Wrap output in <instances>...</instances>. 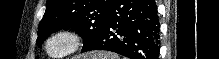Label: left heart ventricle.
<instances>
[{
	"mask_svg": "<svg viewBox=\"0 0 219 59\" xmlns=\"http://www.w3.org/2000/svg\"><path fill=\"white\" fill-rule=\"evenodd\" d=\"M67 41L65 39H56L50 44V50L54 53L63 52L67 48Z\"/></svg>",
	"mask_w": 219,
	"mask_h": 59,
	"instance_id": "b2bd125f",
	"label": "left heart ventricle"
}]
</instances>
